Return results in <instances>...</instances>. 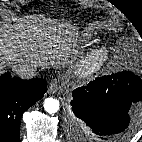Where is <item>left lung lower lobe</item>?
Here are the masks:
<instances>
[{
    "label": "left lung lower lobe",
    "mask_w": 142,
    "mask_h": 142,
    "mask_svg": "<svg viewBox=\"0 0 142 142\" xmlns=\"http://www.w3.org/2000/svg\"><path fill=\"white\" fill-rule=\"evenodd\" d=\"M72 97L74 115L90 128L94 138L100 142H122L130 133V107L142 100V80L123 71L77 88Z\"/></svg>",
    "instance_id": "obj_1"
}]
</instances>
